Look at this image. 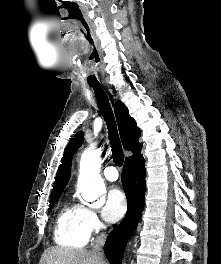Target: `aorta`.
<instances>
[{
  "label": "aorta",
  "mask_w": 221,
  "mask_h": 264,
  "mask_svg": "<svg viewBox=\"0 0 221 264\" xmlns=\"http://www.w3.org/2000/svg\"><path fill=\"white\" fill-rule=\"evenodd\" d=\"M100 151L85 150L81 156L78 177V190L82 198L87 202L99 201V197L105 193V185L100 176Z\"/></svg>",
  "instance_id": "762f6f07"
}]
</instances>
